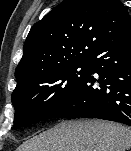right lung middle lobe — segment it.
<instances>
[{
    "label": "right lung middle lobe",
    "mask_w": 131,
    "mask_h": 151,
    "mask_svg": "<svg viewBox=\"0 0 131 151\" xmlns=\"http://www.w3.org/2000/svg\"><path fill=\"white\" fill-rule=\"evenodd\" d=\"M89 72V63H78L44 73L15 88L11 98L14 128L53 117L89 77Z\"/></svg>",
    "instance_id": "obj_1"
}]
</instances>
